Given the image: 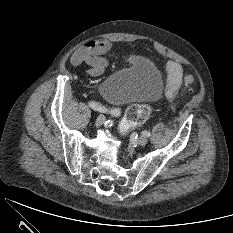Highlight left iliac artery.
<instances>
[{
  "label": "left iliac artery",
  "mask_w": 233,
  "mask_h": 233,
  "mask_svg": "<svg viewBox=\"0 0 233 233\" xmlns=\"http://www.w3.org/2000/svg\"><path fill=\"white\" fill-rule=\"evenodd\" d=\"M142 134L146 137H149L151 135L149 131H143Z\"/></svg>",
  "instance_id": "left-iliac-artery-1"
}]
</instances>
